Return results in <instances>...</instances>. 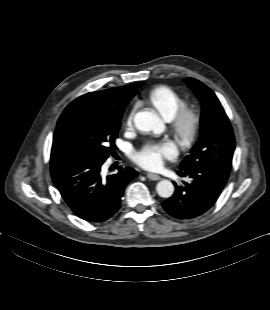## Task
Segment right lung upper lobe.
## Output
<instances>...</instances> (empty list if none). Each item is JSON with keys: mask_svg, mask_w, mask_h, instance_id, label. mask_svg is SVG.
Listing matches in <instances>:
<instances>
[{"mask_svg": "<svg viewBox=\"0 0 270 310\" xmlns=\"http://www.w3.org/2000/svg\"><path fill=\"white\" fill-rule=\"evenodd\" d=\"M141 82L123 87L111 88L103 91L87 93L79 98H91L96 100L103 108L108 110L115 117L121 118L125 106L136 94ZM51 158H56L51 156Z\"/></svg>", "mask_w": 270, "mask_h": 310, "instance_id": "obj_1", "label": "right lung upper lobe"}]
</instances>
